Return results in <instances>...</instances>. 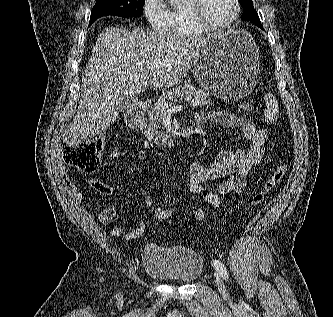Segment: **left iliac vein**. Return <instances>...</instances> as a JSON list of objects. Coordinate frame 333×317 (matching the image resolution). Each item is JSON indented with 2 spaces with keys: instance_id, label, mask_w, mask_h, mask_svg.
<instances>
[{
  "instance_id": "left-iliac-vein-1",
  "label": "left iliac vein",
  "mask_w": 333,
  "mask_h": 317,
  "mask_svg": "<svg viewBox=\"0 0 333 317\" xmlns=\"http://www.w3.org/2000/svg\"><path fill=\"white\" fill-rule=\"evenodd\" d=\"M215 282L217 284L218 290L221 293V295L223 297H227L228 296V292L226 290L223 277H222V275L218 271H215Z\"/></svg>"
}]
</instances>
